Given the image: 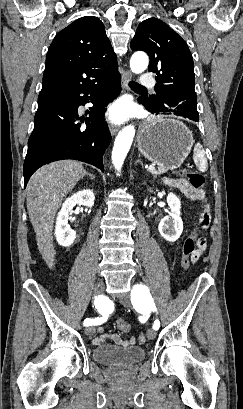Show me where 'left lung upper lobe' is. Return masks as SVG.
<instances>
[{
	"label": "left lung upper lobe",
	"mask_w": 243,
	"mask_h": 409,
	"mask_svg": "<svg viewBox=\"0 0 243 409\" xmlns=\"http://www.w3.org/2000/svg\"><path fill=\"white\" fill-rule=\"evenodd\" d=\"M150 57L149 71L156 77L157 96L145 98L155 104L163 98L189 102L197 108L194 65L186 42L163 21L149 18L139 24L130 45Z\"/></svg>",
	"instance_id": "1"
}]
</instances>
